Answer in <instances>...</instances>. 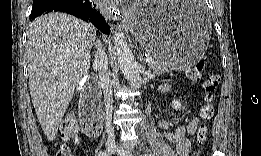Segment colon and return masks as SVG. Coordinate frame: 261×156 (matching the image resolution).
<instances>
[{
	"label": "colon",
	"mask_w": 261,
	"mask_h": 156,
	"mask_svg": "<svg viewBox=\"0 0 261 156\" xmlns=\"http://www.w3.org/2000/svg\"><path fill=\"white\" fill-rule=\"evenodd\" d=\"M204 68L203 61L199 60L197 61L188 71L187 76L192 82H196L200 79L201 72ZM219 77L217 75H209L205 78L203 81V89L205 92V102L201 106L200 109V117H201V123L198 127L197 134L195 141L197 145H202L205 143L208 135V122L211 120V118L214 115V104L213 99L214 95L218 89L219 86ZM83 128L85 132L89 136H96L99 134V128L94 123H87L83 121V124L81 125L78 117L76 114L71 113L68 115V117L65 119L62 128H61V134L64 140H75L81 130ZM59 155H70V152L62 148L59 153ZM197 154V153H195Z\"/></svg>",
	"instance_id": "obj_1"
}]
</instances>
